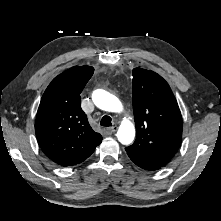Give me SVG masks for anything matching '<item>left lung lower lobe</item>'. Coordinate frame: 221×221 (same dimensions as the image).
Wrapping results in <instances>:
<instances>
[{
  "label": "left lung lower lobe",
  "mask_w": 221,
  "mask_h": 221,
  "mask_svg": "<svg viewBox=\"0 0 221 221\" xmlns=\"http://www.w3.org/2000/svg\"><path fill=\"white\" fill-rule=\"evenodd\" d=\"M129 158L133 161V163H135L137 166L145 169V170H150V171H154V170H158L161 168V166L155 164V163H152L150 161H147V160H143V159H140V158H137V157H133L131 155H128Z\"/></svg>",
  "instance_id": "left-lung-lower-lobe-1"
}]
</instances>
